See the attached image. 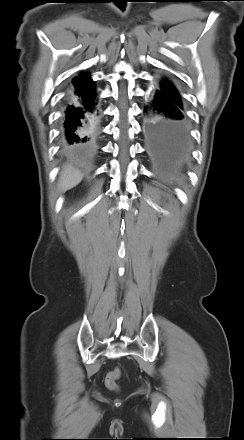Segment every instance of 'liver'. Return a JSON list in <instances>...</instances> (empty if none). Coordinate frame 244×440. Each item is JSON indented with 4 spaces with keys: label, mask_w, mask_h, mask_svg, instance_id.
<instances>
[{
    "label": "liver",
    "mask_w": 244,
    "mask_h": 440,
    "mask_svg": "<svg viewBox=\"0 0 244 440\" xmlns=\"http://www.w3.org/2000/svg\"><path fill=\"white\" fill-rule=\"evenodd\" d=\"M83 179V174L74 169L71 166L63 167L60 180H59V189L61 192H65L69 189H72L76 185H78Z\"/></svg>",
    "instance_id": "6515ba94"
}]
</instances>
